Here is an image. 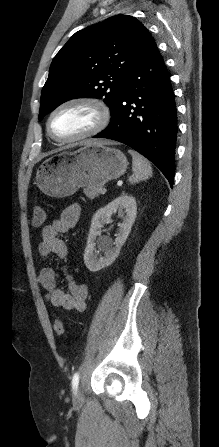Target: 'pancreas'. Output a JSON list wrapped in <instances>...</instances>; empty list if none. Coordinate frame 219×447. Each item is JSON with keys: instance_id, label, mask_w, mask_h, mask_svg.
Masks as SVG:
<instances>
[{"instance_id": "1", "label": "pancreas", "mask_w": 219, "mask_h": 447, "mask_svg": "<svg viewBox=\"0 0 219 447\" xmlns=\"http://www.w3.org/2000/svg\"><path fill=\"white\" fill-rule=\"evenodd\" d=\"M100 189H101V186L87 187L83 190V192L88 198L93 199V198L99 196V194L101 193Z\"/></svg>"}]
</instances>
